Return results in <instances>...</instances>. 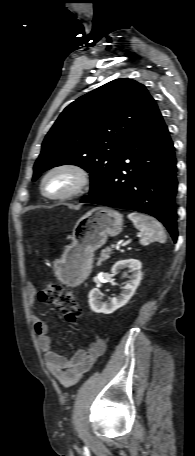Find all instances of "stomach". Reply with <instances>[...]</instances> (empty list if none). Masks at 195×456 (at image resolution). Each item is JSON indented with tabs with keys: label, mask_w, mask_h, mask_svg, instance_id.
Here are the masks:
<instances>
[{
	"label": "stomach",
	"mask_w": 195,
	"mask_h": 456,
	"mask_svg": "<svg viewBox=\"0 0 195 456\" xmlns=\"http://www.w3.org/2000/svg\"><path fill=\"white\" fill-rule=\"evenodd\" d=\"M122 226V215L107 207H96L80 217L73 228L72 243L56 262L58 279L70 286L81 284L92 269L94 252L108 236L118 235Z\"/></svg>",
	"instance_id": "1"
}]
</instances>
